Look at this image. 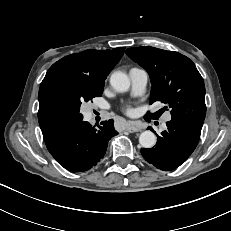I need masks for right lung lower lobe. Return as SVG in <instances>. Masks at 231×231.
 <instances>
[{"label":"right lung lower lobe","mask_w":231,"mask_h":231,"mask_svg":"<svg viewBox=\"0 0 231 231\" xmlns=\"http://www.w3.org/2000/svg\"><path fill=\"white\" fill-rule=\"evenodd\" d=\"M98 129L85 121L67 125L45 139L54 159L71 172H84L105 155L108 141L118 133L113 120L103 121Z\"/></svg>","instance_id":"1"}]
</instances>
